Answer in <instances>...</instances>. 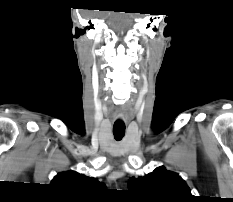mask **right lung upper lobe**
Wrapping results in <instances>:
<instances>
[{
    "mask_svg": "<svg viewBox=\"0 0 233 202\" xmlns=\"http://www.w3.org/2000/svg\"><path fill=\"white\" fill-rule=\"evenodd\" d=\"M51 185L67 191H86L97 187H102V183L95 178H89L75 171L59 173L52 180Z\"/></svg>",
    "mask_w": 233,
    "mask_h": 202,
    "instance_id": "obj_1",
    "label": "right lung upper lobe"
}]
</instances>
